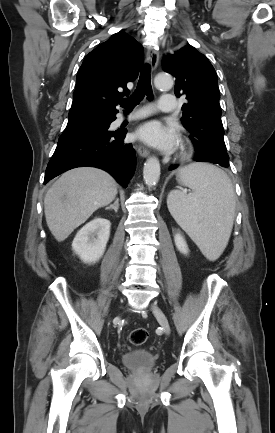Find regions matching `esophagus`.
<instances>
[{"mask_svg": "<svg viewBox=\"0 0 275 433\" xmlns=\"http://www.w3.org/2000/svg\"><path fill=\"white\" fill-rule=\"evenodd\" d=\"M159 57L160 56H159L158 49L155 48L148 49L146 54V61L150 65L152 70H154L157 67L159 63ZM136 149L138 154L143 158L148 157L150 154L149 150L141 144L137 145Z\"/></svg>", "mask_w": 275, "mask_h": 433, "instance_id": "esophagus-1", "label": "esophagus"}]
</instances>
